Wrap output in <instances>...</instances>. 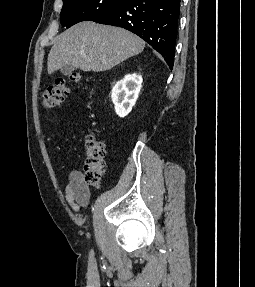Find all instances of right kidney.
<instances>
[{
  "mask_svg": "<svg viewBox=\"0 0 255 287\" xmlns=\"http://www.w3.org/2000/svg\"><path fill=\"white\" fill-rule=\"evenodd\" d=\"M141 84L142 76H139V74H127L123 80L116 82L113 86L111 98L117 116L124 118L131 112L142 88Z\"/></svg>",
  "mask_w": 255,
  "mask_h": 287,
  "instance_id": "right-kidney-1",
  "label": "right kidney"
}]
</instances>
